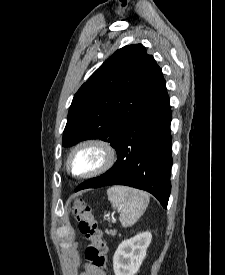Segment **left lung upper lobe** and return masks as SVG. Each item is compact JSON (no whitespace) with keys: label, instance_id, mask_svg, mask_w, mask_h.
I'll return each mask as SVG.
<instances>
[{"label":"left lung upper lobe","instance_id":"5c2ea615","mask_svg":"<svg viewBox=\"0 0 225 275\" xmlns=\"http://www.w3.org/2000/svg\"><path fill=\"white\" fill-rule=\"evenodd\" d=\"M165 84L161 68L143 45L118 49L75 94L62 145L98 138L116 149Z\"/></svg>","mask_w":225,"mask_h":275}]
</instances>
